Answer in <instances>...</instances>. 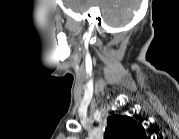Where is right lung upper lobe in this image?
<instances>
[{
  "instance_id": "right-lung-upper-lobe-1",
  "label": "right lung upper lobe",
  "mask_w": 179,
  "mask_h": 139,
  "mask_svg": "<svg viewBox=\"0 0 179 139\" xmlns=\"http://www.w3.org/2000/svg\"><path fill=\"white\" fill-rule=\"evenodd\" d=\"M106 139H145L144 128L128 116L113 115L108 118Z\"/></svg>"
}]
</instances>
